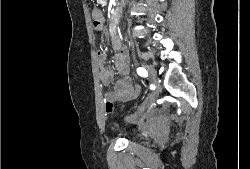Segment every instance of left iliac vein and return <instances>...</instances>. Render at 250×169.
<instances>
[{
  "instance_id": "left-iliac-vein-1",
  "label": "left iliac vein",
  "mask_w": 250,
  "mask_h": 169,
  "mask_svg": "<svg viewBox=\"0 0 250 169\" xmlns=\"http://www.w3.org/2000/svg\"><path fill=\"white\" fill-rule=\"evenodd\" d=\"M147 72L150 76V79L157 85L156 91L152 94L151 98L149 99V101L147 102L146 106L144 108L139 109L135 114L130 115L129 117H127V121H133L137 116H140L141 114H143V112L150 108L151 106H153L154 100L155 98L158 96L159 93V80H158V75H157V71L154 67L149 66L147 67Z\"/></svg>"
}]
</instances>
